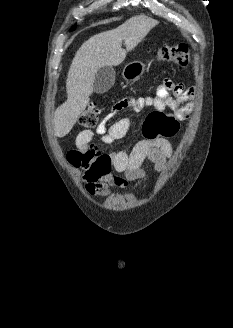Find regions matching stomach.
<instances>
[{
    "mask_svg": "<svg viewBox=\"0 0 233 328\" xmlns=\"http://www.w3.org/2000/svg\"><path fill=\"white\" fill-rule=\"evenodd\" d=\"M144 71L145 65L140 61H134L124 67L122 76L126 81L132 82L138 80Z\"/></svg>",
    "mask_w": 233,
    "mask_h": 328,
    "instance_id": "obj_1",
    "label": "stomach"
}]
</instances>
